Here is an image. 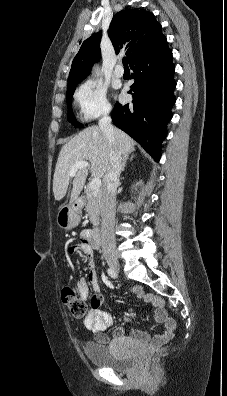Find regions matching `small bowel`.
<instances>
[{"label": "small bowel", "mask_w": 227, "mask_h": 396, "mask_svg": "<svg viewBox=\"0 0 227 396\" xmlns=\"http://www.w3.org/2000/svg\"><path fill=\"white\" fill-rule=\"evenodd\" d=\"M96 249L97 246L90 239L88 232L83 231L80 236V243L75 246V250L88 257L90 259V264L86 278L82 277L78 280L77 290L80 298L83 300L89 298L90 288L96 292V295L92 299L93 309L83 318L84 326L95 335V340L101 344H138L148 346L152 349H156L171 340L174 336L176 323L172 318L167 316L164 309V301L157 296L145 293L139 286H134L132 292L138 298L153 305L155 308L153 315L154 320L163 325V333L151 336L146 332L133 330L130 335H127L125 328L120 326L114 329L111 338L105 334V330L113 324V317L108 312L99 309L103 304V297L99 293V278L93 258ZM69 252H71V249H69Z\"/></svg>", "instance_id": "c3829d8e"}]
</instances>
